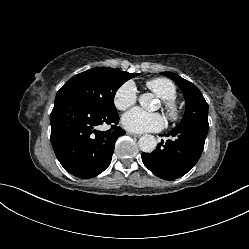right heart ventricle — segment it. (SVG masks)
<instances>
[{
	"instance_id": "e07e8e85",
	"label": "right heart ventricle",
	"mask_w": 249,
	"mask_h": 249,
	"mask_svg": "<svg viewBox=\"0 0 249 249\" xmlns=\"http://www.w3.org/2000/svg\"><path fill=\"white\" fill-rule=\"evenodd\" d=\"M146 87L162 100L174 101L177 97L175 84L166 78H154L146 82Z\"/></svg>"
}]
</instances>
